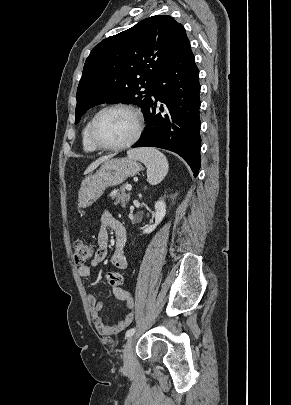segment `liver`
I'll return each instance as SVG.
<instances>
[{
    "label": "liver",
    "instance_id": "liver-1",
    "mask_svg": "<svg viewBox=\"0 0 291 405\" xmlns=\"http://www.w3.org/2000/svg\"><path fill=\"white\" fill-rule=\"evenodd\" d=\"M111 158V156H103L101 158H99L98 160H96L95 162H93L88 168L87 170L84 172V174H89L90 172H92L93 170H95L101 163L109 160Z\"/></svg>",
    "mask_w": 291,
    "mask_h": 405
}]
</instances>
